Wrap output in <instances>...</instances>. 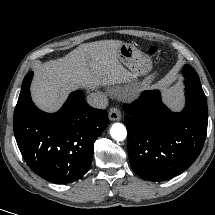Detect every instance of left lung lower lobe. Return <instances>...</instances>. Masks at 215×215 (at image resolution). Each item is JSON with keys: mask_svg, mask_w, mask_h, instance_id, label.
Instances as JSON below:
<instances>
[{"mask_svg": "<svg viewBox=\"0 0 215 215\" xmlns=\"http://www.w3.org/2000/svg\"><path fill=\"white\" fill-rule=\"evenodd\" d=\"M185 108L172 112L158 90L124 105L133 170L149 181L170 179L197 159L207 134V100L200 82L185 79Z\"/></svg>", "mask_w": 215, "mask_h": 215, "instance_id": "left-lung-lower-lobe-1", "label": "left lung lower lobe"}]
</instances>
